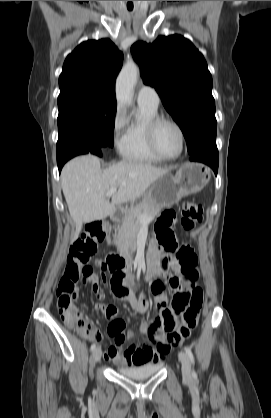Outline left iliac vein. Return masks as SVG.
I'll return each mask as SVG.
<instances>
[{
  "label": "left iliac vein",
  "mask_w": 271,
  "mask_h": 418,
  "mask_svg": "<svg viewBox=\"0 0 271 418\" xmlns=\"http://www.w3.org/2000/svg\"><path fill=\"white\" fill-rule=\"evenodd\" d=\"M179 360L181 362L182 365V376L184 378V380L189 381L191 380L192 374H191V362L190 359L188 357V355L183 352L180 351L179 352Z\"/></svg>",
  "instance_id": "4c4485c4"
}]
</instances>
